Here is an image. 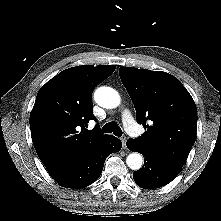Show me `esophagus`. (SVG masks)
I'll use <instances>...</instances> for the list:
<instances>
[{"mask_svg":"<svg viewBox=\"0 0 221 221\" xmlns=\"http://www.w3.org/2000/svg\"><path fill=\"white\" fill-rule=\"evenodd\" d=\"M121 141H122V144H123V149H126L127 147H126V137L125 136H122L121 137Z\"/></svg>","mask_w":221,"mask_h":221,"instance_id":"34e87169","label":"esophagus"}]
</instances>
